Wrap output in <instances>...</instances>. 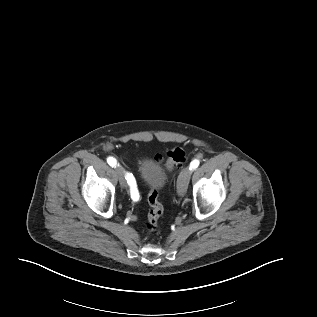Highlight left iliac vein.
Segmentation results:
<instances>
[{
    "label": "left iliac vein",
    "mask_w": 317,
    "mask_h": 317,
    "mask_svg": "<svg viewBox=\"0 0 317 317\" xmlns=\"http://www.w3.org/2000/svg\"><path fill=\"white\" fill-rule=\"evenodd\" d=\"M190 176H191V170L188 167L184 168L180 172L178 176V180H177V193L179 196H183L185 194L187 185L190 180Z\"/></svg>",
    "instance_id": "1"
}]
</instances>
